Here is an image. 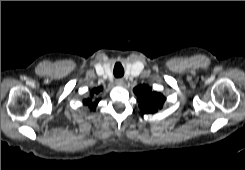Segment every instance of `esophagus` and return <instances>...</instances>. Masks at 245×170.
I'll list each match as a JSON object with an SVG mask.
<instances>
[{"label":"esophagus","instance_id":"esophagus-1","mask_svg":"<svg viewBox=\"0 0 245 170\" xmlns=\"http://www.w3.org/2000/svg\"><path fill=\"white\" fill-rule=\"evenodd\" d=\"M116 84L118 86H123L124 85V80L122 78L116 80Z\"/></svg>","mask_w":245,"mask_h":170}]
</instances>
